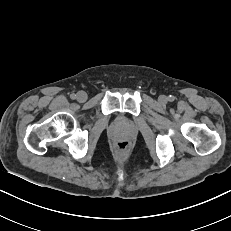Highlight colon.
Returning a JSON list of instances; mask_svg holds the SVG:
<instances>
[{
    "label": "colon",
    "instance_id": "colon-1",
    "mask_svg": "<svg viewBox=\"0 0 231 231\" xmlns=\"http://www.w3.org/2000/svg\"><path fill=\"white\" fill-rule=\"evenodd\" d=\"M116 148H117V150H119L121 152H125L129 148V143L127 141H119L116 144Z\"/></svg>",
    "mask_w": 231,
    "mask_h": 231
}]
</instances>
